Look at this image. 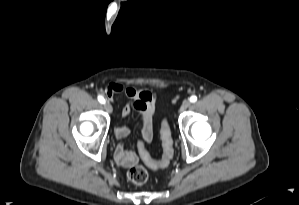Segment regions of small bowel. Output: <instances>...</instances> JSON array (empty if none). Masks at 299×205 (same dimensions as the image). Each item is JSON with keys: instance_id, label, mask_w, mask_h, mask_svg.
<instances>
[{"instance_id": "obj_1", "label": "small bowel", "mask_w": 299, "mask_h": 205, "mask_svg": "<svg viewBox=\"0 0 299 205\" xmlns=\"http://www.w3.org/2000/svg\"><path fill=\"white\" fill-rule=\"evenodd\" d=\"M124 92L129 98V103L123 108L122 116L125 119H130L137 116L144 123L143 139L149 142L152 138V118L156 106V94L148 89H136L133 87L125 88L119 83H111L106 94L111 98L115 93ZM129 133L127 125L123 124L115 130V135L118 139L125 138ZM116 162L125 168L133 167L138 162V157L135 151L127 147L123 142H120L114 152Z\"/></svg>"}]
</instances>
